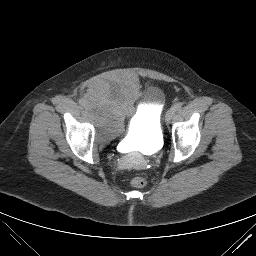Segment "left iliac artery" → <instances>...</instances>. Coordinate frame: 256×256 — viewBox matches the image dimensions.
Returning <instances> with one entry per match:
<instances>
[{
    "mask_svg": "<svg viewBox=\"0 0 256 256\" xmlns=\"http://www.w3.org/2000/svg\"><path fill=\"white\" fill-rule=\"evenodd\" d=\"M181 107H182V104H181V103H176V104L173 105L172 109H173L174 111H178V110L181 109Z\"/></svg>",
    "mask_w": 256,
    "mask_h": 256,
    "instance_id": "1",
    "label": "left iliac artery"
}]
</instances>
